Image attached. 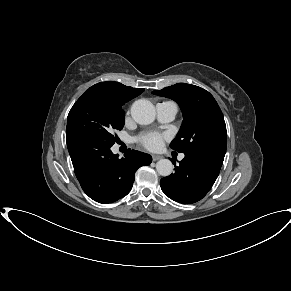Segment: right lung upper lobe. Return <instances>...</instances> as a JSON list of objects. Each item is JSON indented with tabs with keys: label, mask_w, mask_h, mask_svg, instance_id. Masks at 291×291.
<instances>
[{
	"label": "right lung upper lobe",
	"mask_w": 291,
	"mask_h": 291,
	"mask_svg": "<svg viewBox=\"0 0 291 291\" xmlns=\"http://www.w3.org/2000/svg\"><path fill=\"white\" fill-rule=\"evenodd\" d=\"M144 91L143 88H132L119 82H100L90 87L86 93L106 96L118 103H126Z\"/></svg>",
	"instance_id": "obj_1"
}]
</instances>
